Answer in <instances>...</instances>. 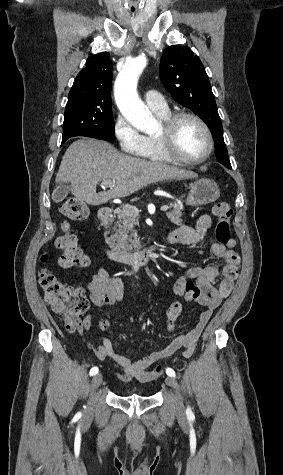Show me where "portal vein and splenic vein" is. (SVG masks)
I'll return each instance as SVG.
<instances>
[{
  "label": "portal vein and splenic vein",
  "mask_w": 283,
  "mask_h": 475,
  "mask_svg": "<svg viewBox=\"0 0 283 475\" xmlns=\"http://www.w3.org/2000/svg\"><path fill=\"white\" fill-rule=\"evenodd\" d=\"M103 186H105V188H113L114 184H115V180H104V182H102ZM169 206H162V208H160V210H162V212H166V210H168ZM134 212L135 214H138L139 210H137V208H134Z\"/></svg>",
  "instance_id": "1"
}]
</instances>
